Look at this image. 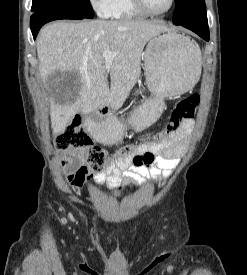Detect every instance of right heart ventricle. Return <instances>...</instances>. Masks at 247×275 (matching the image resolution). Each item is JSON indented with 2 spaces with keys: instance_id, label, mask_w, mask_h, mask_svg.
I'll list each match as a JSON object with an SVG mask.
<instances>
[{
  "instance_id": "obj_1",
  "label": "right heart ventricle",
  "mask_w": 247,
  "mask_h": 275,
  "mask_svg": "<svg viewBox=\"0 0 247 275\" xmlns=\"http://www.w3.org/2000/svg\"><path fill=\"white\" fill-rule=\"evenodd\" d=\"M133 0H113L109 17L114 19H132L144 17Z\"/></svg>"
}]
</instances>
